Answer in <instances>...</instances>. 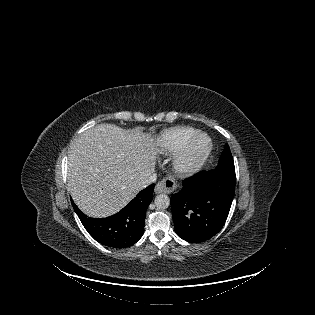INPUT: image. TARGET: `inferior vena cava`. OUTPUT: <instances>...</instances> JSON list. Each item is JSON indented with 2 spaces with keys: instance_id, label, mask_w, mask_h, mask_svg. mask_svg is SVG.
<instances>
[{
  "instance_id": "obj_1",
  "label": "inferior vena cava",
  "mask_w": 315,
  "mask_h": 315,
  "mask_svg": "<svg viewBox=\"0 0 315 315\" xmlns=\"http://www.w3.org/2000/svg\"><path fill=\"white\" fill-rule=\"evenodd\" d=\"M157 179V174L156 173H152L150 176H148L147 178H145L142 182L141 185L142 187H146L148 185H150L151 183H154Z\"/></svg>"
}]
</instances>
